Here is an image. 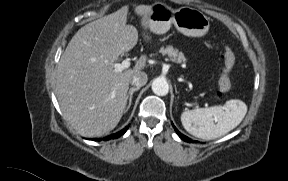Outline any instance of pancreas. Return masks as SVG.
Masks as SVG:
<instances>
[{
	"instance_id": "cf45deb5",
	"label": "pancreas",
	"mask_w": 288,
	"mask_h": 181,
	"mask_svg": "<svg viewBox=\"0 0 288 181\" xmlns=\"http://www.w3.org/2000/svg\"><path fill=\"white\" fill-rule=\"evenodd\" d=\"M159 52L162 55H167L172 61L176 63H185L186 58L182 52H179L177 49L173 48V46H167L166 48L162 47Z\"/></svg>"
}]
</instances>
